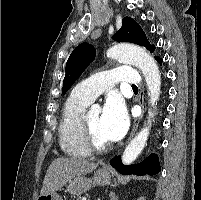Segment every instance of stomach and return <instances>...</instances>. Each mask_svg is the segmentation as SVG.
<instances>
[{"instance_id": "0dacf381", "label": "stomach", "mask_w": 201, "mask_h": 200, "mask_svg": "<svg viewBox=\"0 0 201 200\" xmlns=\"http://www.w3.org/2000/svg\"><path fill=\"white\" fill-rule=\"evenodd\" d=\"M111 173L107 169H98L92 178L83 175L76 176L68 182L66 190L72 195H78L87 192L95 185H108L111 183ZM38 200H63L56 192L46 195H40Z\"/></svg>"}]
</instances>
